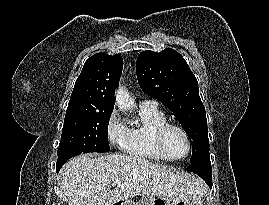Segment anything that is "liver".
I'll return each mask as SVG.
<instances>
[{"instance_id":"obj_1","label":"liver","mask_w":269,"mask_h":205,"mask_svg":"<svg viewBox=\"0 0 269 205\" xmlns=\"http://www.w3.org/2000/svg\"><path fill=\"white\" fill-rule=\"evenodd\" d=\"M117 178L123 181L111 189ZM58 184L68 205H113L139 195L202 197L205 192L195 175L175 174L144 158L119 154L76 156L61 169Z\"/></svg>"}]
</instances>
